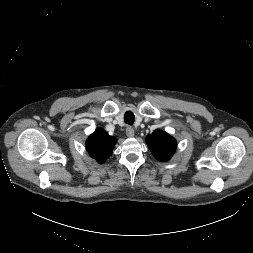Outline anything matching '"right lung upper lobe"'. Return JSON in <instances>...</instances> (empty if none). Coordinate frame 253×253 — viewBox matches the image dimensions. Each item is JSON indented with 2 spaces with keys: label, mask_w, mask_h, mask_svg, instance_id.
<instances>
[{
  "label": "right lung upper lobe",
  "mask_w": 253,
  "mask_h": 253,
  "mask_svg": "<svg viewBox=\"0 0 253 253\" xmlns=\"http://www.w3.org/2000/svg\"><path fill=\"white\" fill-rule=\"evenodd\" d=\"M115 143V137L108 135L104 129L98 128L88 137L86 149L92 158L103 163L111 155Z\"/></svg>",
  "instance_id": "cb5924a9"
}]
</instances>
